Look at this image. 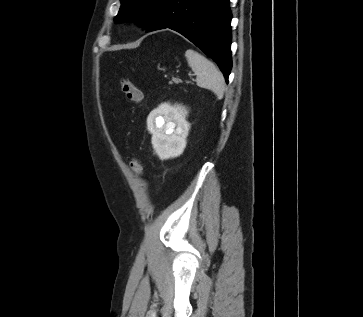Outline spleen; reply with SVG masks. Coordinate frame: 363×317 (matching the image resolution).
<instances>
[{"label": "spleen", "instance_id": "spleen-1", "mask_svg": "<svg viewBox=\"0 0 363 317\" xmlns=\"http://www.w3.org/2000/svg\"><path fill=\"white\" fill-rule=\"evenodd\" d=\"M188 65L196 74V83L199 87L212 90L218 98H222L225 90L223 74L218 68L200 53L188 49L185 52Z\"/></svg>", "mask_w": 363, "mask_h": 317}]
</instances>
